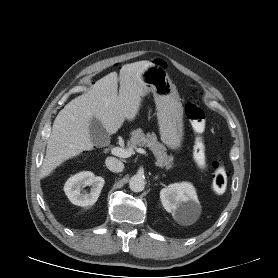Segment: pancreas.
I'll use <instances>...</instances> for the list:
<instances>
[{"label":"pancreas","instance_id":"pancreas-1","mask_svg":"<svg viewBox=\"0 0 278 278\" xmlns=\"http://www.w3.org/2000/svg\"><path fill=\"white\" fill-rule=\"evenodd\" d=\"M128 146L132 149L140 147H148L156 158V165L161 168L170 169L173 165V157L168 156L166 148L157 141L155 134H144L142 129L133 130L131 132L130 141Z\"/></svg>","mask_w":278,"mask_h":278}]
</instances>
